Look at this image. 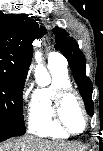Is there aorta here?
Masks as SVG:
<instances>
[{
  "label": "aorta",
  "instance_id": "aorta-1",
  "mask_svg": "<svg viewBox=\"0 0 103 151\" xmlns=\"http://www.w3.org/2000/svg\"><path fill=\"white\" fill-rule=\"evenodd\" d=\"M35 44L39 45L38 43H35ZM34 59L37 62V65L35 68L36 79L39 80L41 77H48L47 70L41 63L42 62V52L40 50H36L34 52Z\"/></svg>",
  "mask_w": 103,
  "mask_h": 151
}]
</instances>
